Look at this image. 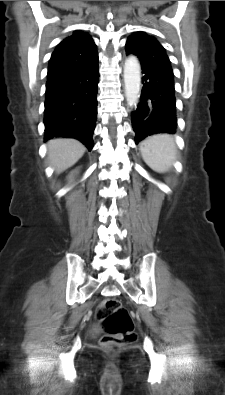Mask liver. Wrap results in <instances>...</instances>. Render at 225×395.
Returning a JSON list of instances; mask_svg holds the SVG:
<instances>
[{
  "instance_id": "6515ba94",
  "label": "liver",
  "mask_w": 225,
  "mask_h": 395,
  "mask_svg": "<svg viewBox=\"0 0 225 395\" xmlns=\"http://www.w3.org/2000/svg\"><path fill=\"white\" fill-rule=\"evenodd\" d=\"M85 150V146L75 139L57 138L47 143L49 164L58 174L73 166Z\"/></svg>"
}]
</instances>
